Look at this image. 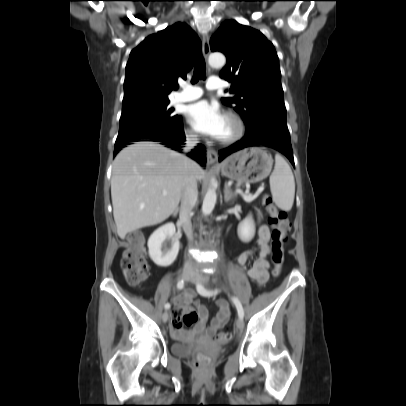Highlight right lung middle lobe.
Masks as SVG:
<instances>
[{
	"label": "right lung middle lobe",
	"mask_w": 406,
	"mask_h": 406,
	"mask_svg": "<svg viewBox=\"0 0 406 406\" xmlns=\"http://www.w3.org/2000/svg\"><path fill=\"white\" fill-rule=\"evenodd\" d=\"M169 100H146L122 106L117 139L147 135L175 126L181 118L168 107Z\"/></svg>",
	"instance_id": "obj_1"
}]
</instances>
